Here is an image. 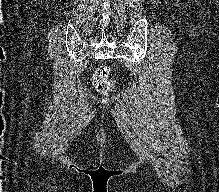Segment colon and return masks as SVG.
Returning <instances> with one entry per match:
<instances>
[{
    "label": "colon",
    "instance_id": "obj_1",
    "mask_svg": "<svg viewBox=\"0 0 219 192\" xmlns=\"http://www.w3.org/2000/svg\"><path fill=\"white\" fill-rule=\"evenodd\" d=\"M111 69L103 65L98 67L93 75V81L96 89L102 94L114 93L117 90V83L110 79Z\"/></svg>",
    "mask_w": 219,
    "mask_h": 192
}]
</instances>
